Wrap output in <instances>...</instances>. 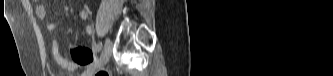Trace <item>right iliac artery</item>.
<instances>
[{"instance_id":"obj_1","label":"right iliac artery","mask_w":333,"mask_h":76,"mask_svg":"<svg viewBox=\"0 0 333 76\" xmlns=\"http://www.w3.org/2000/svg\"><path fill=\"white\" fill-rule=\"evenodd\" d=\"M102 48V43H98L96 46H95V52H99Z\"/></svg>"}]
</instances>
